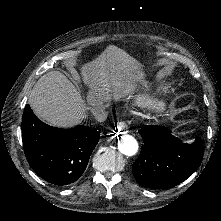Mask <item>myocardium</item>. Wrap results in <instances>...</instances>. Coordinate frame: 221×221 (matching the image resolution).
<instances>
[{
    "label": "myocardium",
    "instance_id": "f54148a6",
    "mask_svg": "<svg viewBox=\"0 0 221 221\" xmlns=\"http://www.w3.org/2000/svg\"><path fill=\"white\" fill-rule=\"evenodd\" d=\"M151 108L154 114L162 115L165 107L163 102L156 100L153 101Z\"/></svg>",
    "mask_w": 221,
    "mask_h": 221
}]
</instances>
